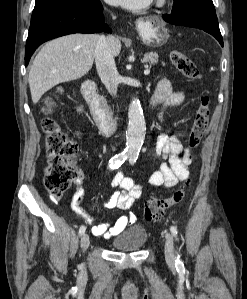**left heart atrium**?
<instances>
[{
	"mask_svg": "<svg viewBox=\"0 0 247 299\" xmlns=\"http://www.w3.org/2000/svg\"><path fill=\"white\" fill-rule=\"evenodd\" d=\"M112 5L122 6L127 9H141L151 3L152 0H106Z\"/></svg>",
	"mask_w": 247,
	"mask_h": 299,
	"instance_id": "obj_1",
	"label": "left heart atrium"
}]
</instances>
